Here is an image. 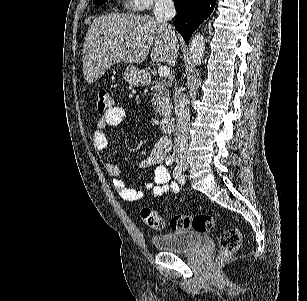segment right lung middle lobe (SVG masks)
<instances>
[{"mask_svg":"<svg viewBox=\"0 0 307 301\" xmlns=\"http://www.w3.org/2000/svg\"><path fill=\"white\" fill-rule=\"evenodd\" d=\"M107 0H94V4L101 5L104 4Z\"/></svg>","mask_w":307,"mask_h":301,"instance_id":"obj_1","label":"right lung middle lobe"}]
</instances>
